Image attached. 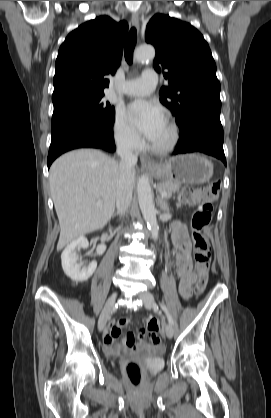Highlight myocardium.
I'll use <instances>...</instances> for the list:
<instances>
[{
  "instance_id": "obj_1",
  "label": "myocardium",
  "mask_w": 271,
  "mask_h": 418,
  "mask_svg": "<svg viewBox=\"0 0 271 418\" xmlns=\"http://www.w3.org/2000/svg\"><path fill=\"white\" fill-rule=\"evenodd\" d=\"M166 122L169 125L170 130H171V138L168 141V143H166L163 146H158V145L151 143L149 148L155 154L163 155V154H167L171 152L176 147L179 141L180 134H179V128L176 122L172 120L171 118H166Z\"/></svg>"
}]
</instances>
